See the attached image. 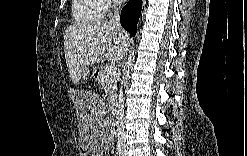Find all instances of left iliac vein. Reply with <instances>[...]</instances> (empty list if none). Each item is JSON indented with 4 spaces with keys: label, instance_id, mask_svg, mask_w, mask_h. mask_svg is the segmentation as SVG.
<instances>
[{
    "label": "left iliac vein",
    "instance_id": "left-iliac-vein-1",
    "mask_svg": "<svg viewBox=\"0 0 247 156\" xmlns=\"http://www.w3.org/2000/svg\"><path fill=\"white\" fill-rule=\"evenodd\" d=\"M126 154V150H125V148H123V155H125Z\"/></svg>",
    "mask_w": 247,
    "mask_h": 156
}]
</instances>
